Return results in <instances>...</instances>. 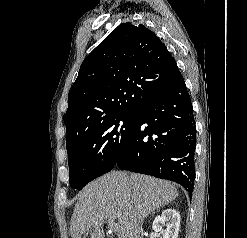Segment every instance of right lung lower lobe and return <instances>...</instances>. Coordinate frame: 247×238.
I'll list each match as a JSON object with an SVG mask.
<instances>
[{
  "mask_svg": "<svg viewBox=\"0 0 247 238\" xmlns=\"http://www.w3.org/2000/svg\"><path fill=\"white\" fill-rule=\"evenodd\" d=\"M191 98L179 73L171 86L144 104L115 167L168 179L191 194L196 130Z\"/></svg>",
  "mask_w": 247,
  "mask_h": 238,
  "instance_id": "obj_1",
  "label": "right lung lower lobe"
}]
</instances>
